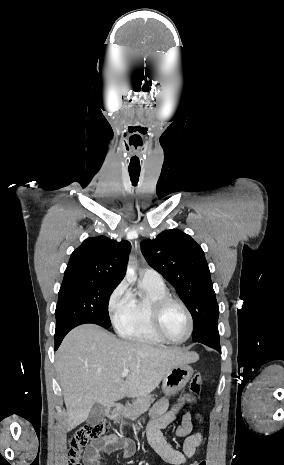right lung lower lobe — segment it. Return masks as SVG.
I'll list each match as a JSON object with an SVG mask.
<instances>
[{
  "label": "right lung lower lobe",
  "mask_w": 284,
  "mask_h": 465,
  "mask_svg": "<svg viewBox=\"0 0 284 465\" xmlns=\"http://www.w3.org/2000/svg\"><path fill=\"white\" fill-rule=\"evenodd\" d=\"M86 323H89V322H86V321H76V322H72V323H69L65 326H63L62 328L60 329H56L55 331V350L58 349L59 345L61 344L63 338L65 337V335L73 328H75L76 326L78 325H81V324H86Z\"/></svg>",
  "instance_id": "1"
}]
</instances>
